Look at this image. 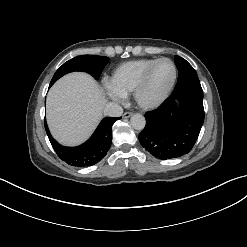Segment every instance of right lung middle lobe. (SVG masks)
<instances>
[{"instance_id": "obj_1", "label": "right lung middle lobe", "mask_w": 247, "mask_h": 247, "mask_svg": "<svg viewBox=\"0 0 247 247\" xmlns=\"http://www.w3.org/2000/svg\"><path fill=\"white\" fill-rule=\"evenodd\" d=\"M109 58L105 56L82 55L65 62L54 74L51 83L73 71H83L98 79Z\"/></svg>"}]
</instances>
